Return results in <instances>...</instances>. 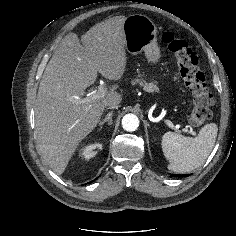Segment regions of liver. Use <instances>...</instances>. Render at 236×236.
Masks as SVG:
<instances>
[{
    "mask_svg": "<svg viewBox=\"0 0 236 236\" xmlns=\"http://www.w3.org/2000/svg\"><path fill=\"white\" fill-rule=\"evenodd\" d=\"M125 16H115L91 27L81 44L69 33L47 64L35 105L39 148L50 168L61 175L79 143L97 126L109 103L119 104L113 89L92 103L79 99L98 72L109 80H120L126 69Z\"/></svg>",
    "mask_w": 236,
    "mask_h": 236,
    "instance_id": "1",
    "label": "liver"
}]
</instances>
